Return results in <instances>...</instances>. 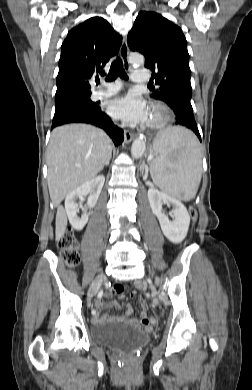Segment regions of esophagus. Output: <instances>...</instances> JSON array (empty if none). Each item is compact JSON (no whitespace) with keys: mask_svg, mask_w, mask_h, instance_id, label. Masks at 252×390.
<instances>
[{"mask_svg":"<svg viewBox=\"0 0 252 390\" xmlns=\"http://www.w3.org/2000/svg\"><path fill=\"white\" fill-rule=\"evenodd\" d=\"M128 54H129V48H128V44H127V41L124 39L123 42H122V45L120 47V56L122 58V61H123V65L125 68H129L130 67V64H129V61H128ZM134 138V135L125 130L124 131V140H125V143H129L133 140Z\"/></svg>","mask_w":252,"mask_h":390,"instance_id":"1","label":"esophagus"}]
</instances>
